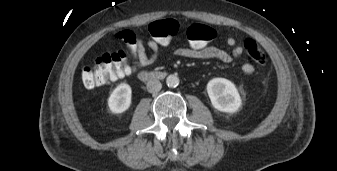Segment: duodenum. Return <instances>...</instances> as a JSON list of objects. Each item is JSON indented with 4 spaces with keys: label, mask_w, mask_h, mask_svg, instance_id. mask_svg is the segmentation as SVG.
<instances>
[{
    "label": "duodenum",
    "mask_w": 337,
    "mask_h": 171,
    "mask_svg": "<svg viewBox=\"0 0 337 171\" xmlns=\"http://www.w3.org/2000/svg\"><path fill=\"white\" fill-rule=\"evenodd\" d=\"M163 77L164 74L162 72L144 71L140 74V78L144 81L162 80Z\"/></svg>",
    "instance_id": "1"
}]
</instances>
